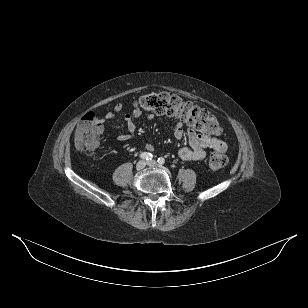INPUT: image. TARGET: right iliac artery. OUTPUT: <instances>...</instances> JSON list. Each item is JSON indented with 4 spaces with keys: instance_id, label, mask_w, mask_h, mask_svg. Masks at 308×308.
<instances>
[{
    "instance_id": "82829eb1",
    "label": "right iliac artery",
    "mask_w": 308,
    "mask_h": 308,
    "mask_svg": "<svg viewBox=\"0 0 308 308\" xmlns=\"http://www.w3.org/2000/svg\"><path fill=\"white\" fill-rule=\"evenodd\" d=\"M153 155L149 152H143L140 154V158L145 159V160H151Z\"/></svg>"
}]
</instances>
